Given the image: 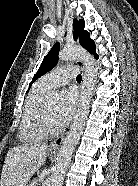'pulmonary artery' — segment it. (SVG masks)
<instances>
[{
  "instance_id": "1",
  "label": "pulmonary artery",
  "mask_w": 138,
  "mask_h": 186,
  "mask_svg": "<svg viewBox=\"0 0 138 186\" xmlns=\"http://www.w3.org/2000/svg\"><path fill=\"white\" fill-rule=\"evenodd\" d=\"M78 72L77 66H64L46 74L40 80L45 88L52 90L71 81Z\"/></svg>"
}]
</instances>
